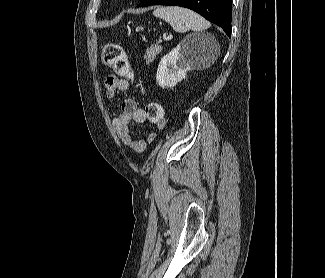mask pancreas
I'll list each match as a JSON object with an SVG mask.
<instances>
[{
	"label": "pancreas",
	"instance_id": "pancreas-1",
	"mask_svg": "<svg viewBox=\"0 0 325 278\" xmlns=\"http://www.w3.org/2000/svg\"><path fill=\"white\" fill-rule=\"evenodd\" d=\"M161 51L162 47L157 44L152 45L150 48H148L144 56L146 63L153 62L156 56L161 53Z\"/></svg>",
	"mask_w": 325,
	"mask_h": 278
}]
</instances>
